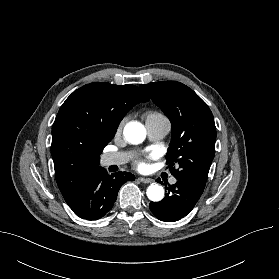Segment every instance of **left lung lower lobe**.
Masks as SVG:
<instances>
[{"mask_svg":"<svg viewBox=\"0 0 279 279\" xmlns=\"http://www.w3.org/2000/svg\"><path fill=\"white\" fill-rule=\"evenodd\" d=\"M203 190L204 188L178 180L168 187V194L162 201L151 202L149 208L161 221H178L193 209Z\"/></svg>","mask_w":279,"mask_h":279,"instance_id":"0a47b994","label":"left lung lower lobe"}]
</instances>
